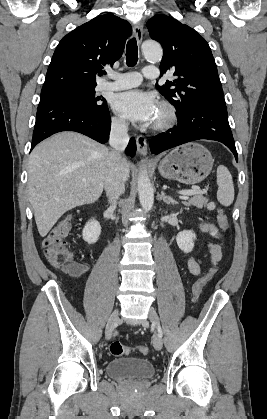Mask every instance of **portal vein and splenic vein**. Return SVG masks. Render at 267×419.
I'll return each instance as SVG.
<instances>
[{
  "label": "portal vein and splenic vein",
  "mask_w": 267,
  "mask_h": 419,
  "mask_svg": "<svg viewBox=\"0 0 267 419\" xmlns=\"http://www.w3.org/2000/svg\"><path fill=\"white\" fill-rule=\"evenodd\" d=\"M200 193H202L200 189L178 191V194L183 195V196H191V195L200 194Z\"/></svg>",
  "instance_id": "obj_1"
}]
</instances>
